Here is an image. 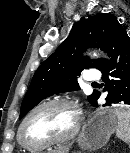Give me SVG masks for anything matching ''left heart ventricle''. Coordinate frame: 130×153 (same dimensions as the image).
Here are the masks:
<instances>
[{"label": "left heart ventricle", "mask_w": 130, "mask_h": 153, "mask_svg": "<svg viewBox=\"0 0 130 153\" xmlns=\"http://www.w3.org/2000/svg\"><path fill=\"white\" fill-rule=\"evenodd\" d=\"M74 111L65 105H49L36 111L24 127V137L40 142L66 136L75 124Z\"/></svg>", "instance_id": "b2bd125f"}]
</instances>
